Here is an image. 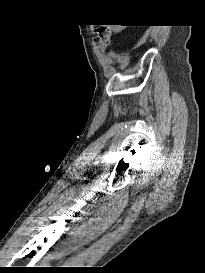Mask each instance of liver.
I'll use <instances>...</instances> for the list:
<instances>
[{"instance_id":"6515ba94","label":"liver","mask_w":205,"mask_h":273,"mask_svg":"<svg viewBox=\"0 0 205 273\" xmlns=\"http://www.w3.org/2000/svg\"><path fill=\"white\" fill-rule=\"evenodd\" d=\"M122 26H110V29L115 31V32H119L122 30Z\"/></svg>"}]
</instances>
